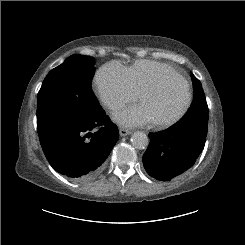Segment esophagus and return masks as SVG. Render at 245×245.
Returning <instances> with one entry per match:
<instances>
[{"instance_id": "1", "label": "esophagus", "mask_w": 245, "mask_h": 245, "mask_svg": "<svg viewBox=\"0 0 245 245\" xmlns=\"http://www.w3.org/2000/svg\"><path fill=\"white\" fill-rule=\"evenodd\" d=\"M119 133H120V136L124 137V136L130 135L132 132L128 129L120 128Z\"/></svg>"}]
</instances>
